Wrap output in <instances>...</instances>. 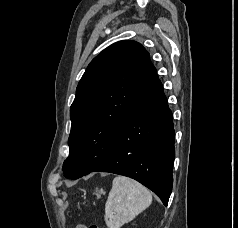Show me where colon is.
Returning a JSON list of instances; mask_svg holds the SVG:
<instances>
[{"label": "colon", "instance_id": "colon-1", "mask_svg": "<svg viewBox=\"0 0 238 228\" xmlns=\"http://www.w3.org/2000/svg\"><path fill=\"white\" fill-rule=\"evenodd\" d=\"M78 228H100V227H98V226H96V225L87 226V225H84V224H80V225L78 226Z\"/></svg>", "mask_w": 238, "mask_h": 228}]
</instances>
